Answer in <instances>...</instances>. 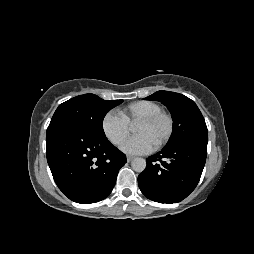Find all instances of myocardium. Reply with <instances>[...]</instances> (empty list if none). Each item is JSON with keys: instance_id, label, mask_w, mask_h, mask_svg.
Listing matches in <instances>:
<instances>
[{"instance_id": "obj_1", "label": "myocardium", "mask_w": 254, "mask_h": 254, "mask_svg": "<svg viewBox=\"0 0 254 254\" xmlns=\"http://www.w3.org/2000/svg\"><path fill=\"white\" fill-rule=\"evenodd\" d=\"M159 119H165L168 123V129H167V133L164 136V138L158 143L156 144L154 147L155 149H160L162 148L164 145H166L168 143V141L171 139L173 132H174V120L173 117L165 112V111H159L157 113H154L152 115H149L145 118L140 119L137 124H152L155 121L159 120Z\"/></svg>"}]
</instances>
